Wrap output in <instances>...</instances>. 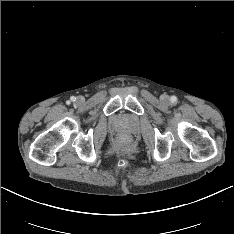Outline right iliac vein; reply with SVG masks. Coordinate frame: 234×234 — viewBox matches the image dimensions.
Returning <instances> with one entry per match:
<instances>
[{
    "instance_id": "right-iliac-vein-1",
    "label": "right iliac vein",
    "mask_w": 234,
    "mask_h": 234,
    "mask_svg": "<svg viewBox=\"0 0 234 234\" xmlns=\"http://www.w3.org/2000/svg\"><path fill=\"white\" fill-rule=\"evenodd\" d=\"M81 100V98H78V101H80Z\"/></svg>"
}]
</instances>
